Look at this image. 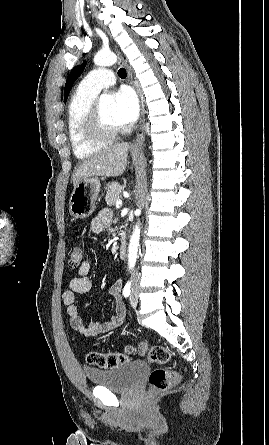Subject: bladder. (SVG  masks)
<instances>
[{
    "label": "bladder",
    "instance_id": "1",
    "mask_svg": "<svg viewBox=\"0 0 269 445\" xmlns=\"http://www.w3.org/2000/svg\"><path fill=\"white\" fill-rule=\"evenodd\" d=\"M148 369L143 360H135L124 366L112 369L85 367L86 380L98 387L111 391H125L136 385Z\"/></svg>",
    "mask_w": 269,
    "mask_h": 445
}]
</instances>
